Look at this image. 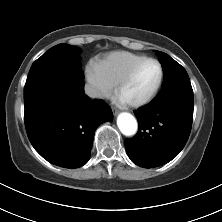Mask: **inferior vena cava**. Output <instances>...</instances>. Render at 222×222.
<instances>
[{
  "label": "inferior vena cava",
  "instance_id": "obj_1",
  "mask_svg": "<svg viewBox=\"0 0 222 222\" xmlns=\"http://www.w3.org/2000/svg\"><path fill=\"white\" fill-rule=\"evenodd\" d=\"M85 94L91 98H97L100 95L99 91L89 84L85 85Z\"/></svg>",
  "mask_w": 222,
  "mask_h": 222
}]
</instances>
